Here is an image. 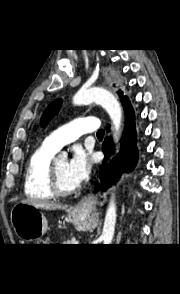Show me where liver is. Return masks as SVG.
Masks as SVG:
<instances>
[{"mask_svg": "<svg viewBox=\"0 0 180 294\" xmlns=\"http://www.w3.org/2000/svg\"><path fill=\"white\" fill-rule=\"evenodd\" d=\"M22 203H28L33 205L37 209L40 208L44 210L67 209V205H61L58 203L47 202V201L23 200Z\"/></svg>", "mask_w": 180, "mask_h": 294, "instance_id": "1", "label": "liver"}]
</instances>
